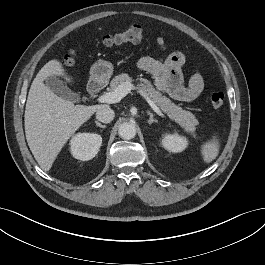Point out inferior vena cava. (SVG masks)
I'll use <instances>...</instances> for the list:
<instances>
[{
	"mask_svg": "<svg viewBox=\"0 0 265 265\" xmlns=\"http://www.w3.org/2000/svg\"><path fill=\"white\" fill-rule=\"evenodd\" d=\"M114 117V111L108 106H105L96 112V119L103 123H110Z\"/></svg>",
	"mask_w": 265,
	"mask_h": 265,
	"instance_id": "inferior-vena-cava-1",
	"label": "inferior vena cava"
}]
</instances>
